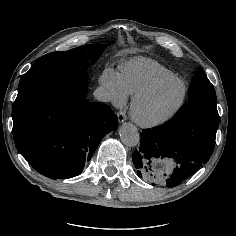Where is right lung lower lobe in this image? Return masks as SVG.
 <instances>
[{"mask_svg":"<svg viewBox=\"0 0 236 236\" xmlns=\"http://www.w3.org/2000/svg\"><path fill=\"white\" fill-rule=\"evenodd\" d=\"M87 72L28 87L12 107L17 150L51 179L79 175L103 137L118 128L108 105L86 100Z\"/></svg>","mask_w":236,"mask_h":236,"instance_id":"right-lung-lower-lobe-1","label":"right lung lower lobe"}]
</instances>
